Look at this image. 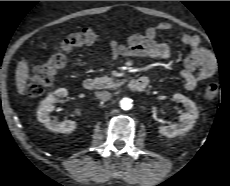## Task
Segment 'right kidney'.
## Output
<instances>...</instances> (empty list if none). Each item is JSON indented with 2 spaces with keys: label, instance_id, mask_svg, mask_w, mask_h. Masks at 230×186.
<instances>
[{
  "label": "right kidney",
  "instance_id": "obj_1",
  "mask_svg": "<svg viewBox=\"0 0 230 186\" xmlns=\"http://www.w3.org/2000/svg\"><path fill=\"white\" fill-rule=\"evenodd\" d=\"M68 91L66 88H59L53 93L49 94L42 102L37 111V119L43 123L49 130L61 133H71L76 128V122L71 120H65L58 122L50 119V113L55 109L53 103L58 98L66 97Z\"/></svg>",
  "mask_w": 230,
  "mask_h": 186
}]
</instances>
